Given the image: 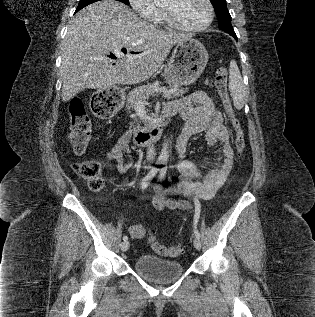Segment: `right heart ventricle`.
Here are the masks:
<instances>
[{
	"label": "right heart ventricle",
	"mask_w": 315,
	"mask_h": 317,
	"mask_svg": "<svg viewBox=\"0 0 315 317\" xmlns=\"http://www.w3.org/2000/svg\"><path fill=\"white\" fill-rule=\"evenodd\" d=\"M164 21H165L164 14H163V12H161L158 19H157V22L163 23Z\"/></svg>",
	"instance_id": "e07e8e85"
}]
</instances>
